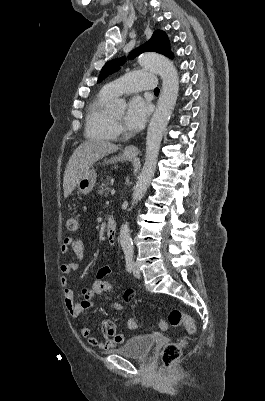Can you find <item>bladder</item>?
<instances>
[{
  "mask_svg": "<svg viewBox=\"0 0 265 401\" xmlns=\"http://www.w3.org/2000/svg\"><path fill=\"white\" fill-rule=\"evenodd\" d=\"M155 339L152 336H137L130 339L125 345L109 350L118 352L125 357H147Z\"/></svg>",
  "mask_w": 265,
  "mask_h": 401,
  "instance_id": "31cf9c89",
  "label": "bladder"
}]
</instances>
